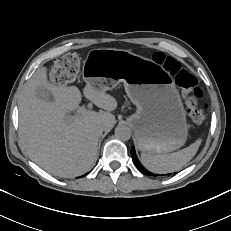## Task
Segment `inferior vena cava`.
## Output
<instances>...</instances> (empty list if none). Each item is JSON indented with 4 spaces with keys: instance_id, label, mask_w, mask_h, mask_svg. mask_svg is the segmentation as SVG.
<instances>
[{
    "instance_id": "obj_1",
    "label": "inferior vena cava",
    "mask_w": 231,
    "mask_h": 231,
    "mask_svg": "<svg viewBox=\"0 0 231 231\" xmlns=\"http://www.w3.org/2000/svg\"><path fill=\"white\" fill-rule=\"evenodd\" d=\"M99 128H100V129H103V128H104V125H103V124H100V125H99Z\"/></svg>"
}]
</instances>
